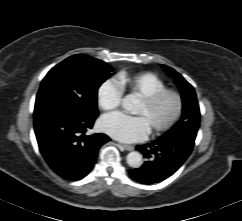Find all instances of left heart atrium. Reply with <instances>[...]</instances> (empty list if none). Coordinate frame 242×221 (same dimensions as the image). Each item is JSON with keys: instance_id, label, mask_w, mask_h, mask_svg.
Instances as JSON below:
<instances>
[{"instance_id": "1", "label": "left heart atrium", "mask_w": 242, "mask_h": 221, "mask_svg": "<svg viewBox=\"0 0 242 221\" xmlns=\"http://www.w3.org/2000/svg\"><path fill=\"white\" fill-rule=\"evenodd\" d=\"M100 125L106 134L122 142L141 140L149 131V126L142 116H129L121 112L105 115Z\"/></svg>"}]
</instances>
